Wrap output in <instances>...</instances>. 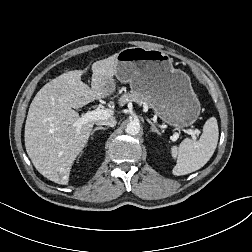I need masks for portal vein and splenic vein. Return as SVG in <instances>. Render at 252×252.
I'll return each instance as SVG.
<instances>
[{
	"mask_svg": "<svg viewBox=\"0 0 252 252\" xmlns=\"http://www.w3.org/2000/svg\"><path fill=\"white\" fill-rule=\"evenodd\" d=\"M111 115H112V111L109 109H96L93 111H89L85 113L81 118L78 119V121L76 122V126L79 128L87 122L106 119L110 117ZM187 133L192 135L193 138L195 139L196 135L200 134V131L198 129H195V130L189 129L187 130Z\"/></svg>",
	"mask_w": 252,
	"mask_h": 252,
	"instance_id": "obj_1",
	"label": "portal vein and splenic vein"
}]
</instances>
